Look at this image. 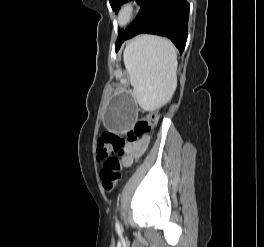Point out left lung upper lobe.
Masks as SVG:
<instances>
[{
  "mask_svg": "<svg viewBox=\"0 0 264 247\" xmlns=\"http://www.w3.org/2000/svg\"><path fill=\"white\" fill-rule=\"evenodd\" d=\"M128 1H131V0H109L112 9H113V10H116V12L118 11L117 8H118L122 3H125V2H128ZM136 1L140 4V6H142V4H143V2H144L145 0H136ZM122 33H123V30L120 29V30H119V34H118V38L122 35Z\"/></svg>",
  "mask_w": 264,
  "mask_h": 247,
  "instance_id": "obj_1",
  "label": "left lung upper lobe"
}]
</instances>
